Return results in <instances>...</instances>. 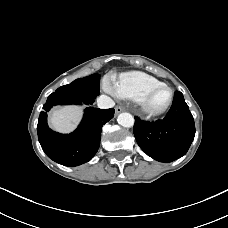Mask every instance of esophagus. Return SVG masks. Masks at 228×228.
<instances>
[{
	"label": "esophagus",
	"instance_id": "obj_1",
	"mask_svg": "<svg viewBox=\"0 0 228 228\" xmlns=\"http://www.w3.org/2000/svg\"><path fill=\"white\" fill-rule=\"evenodd\" d=\"M115 110H116V114H119L120 112H122V111L124 110V108L121 107V106H117V107L115 108Z\"/></svg>",
	"mask_w": 228,
	"mask_h": 228
}]
</instances>
